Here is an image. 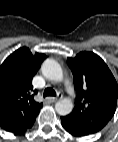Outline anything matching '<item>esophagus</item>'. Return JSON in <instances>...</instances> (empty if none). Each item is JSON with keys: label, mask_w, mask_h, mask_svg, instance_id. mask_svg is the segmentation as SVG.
Segmentation results:
<instances>
[{"label": "esophagus", "mask_w": 118, "mask_h": 142, "mask_svg": "<svg viewBox=\"0 0 118 142\" xmlns=\"http://www.w3.org/2000/svg\"><path fill=\"white\" fill-rule=\"evenodd\" d=\"M62 98V94H58L56 97H51V98H49V100L51 101V102H56V101H58L59 99H61Z\"/></svg>", "instance_id": "obj_1"}]
</instances>
